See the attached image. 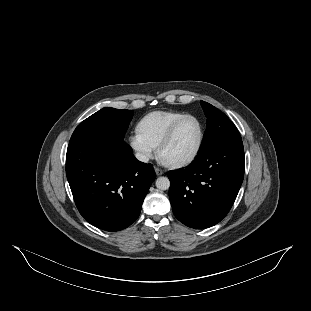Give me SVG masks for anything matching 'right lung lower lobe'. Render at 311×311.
Listing matches in <instances>:
<instances>
[{"label": "right lung lower lobe", "mask_w": 311, "mask_h": 311, "mask_svg": "<svg viewBox=\"0 0 311 311\" xmlns=\"http://www.w3.org/2000/svg\"><path fill=\"white\" fill-rule=\"evenodd\" d=\"M66 175L80 214L106 231L127 228L138 218L156 177L124 138L100 131L70 139Z\"/></svg>", "instance_id": "obj_1"}]
</instances>
